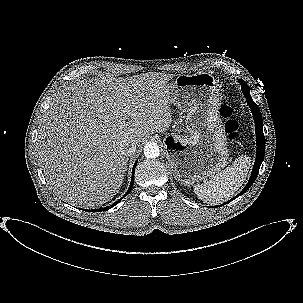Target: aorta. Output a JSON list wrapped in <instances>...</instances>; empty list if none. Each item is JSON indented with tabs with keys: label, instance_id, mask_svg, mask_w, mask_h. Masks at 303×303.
I'll list each match as a JSON object with an SVG mask.
<instances>
[{
	"label": "aorta",
	"instance_id": "762f6f07",
	"mask_svg": "<svg viewBox=\"0 0 303 303\" xmlns=\"http://www.w3.org/2000/svg\"><path fill=\"white\" fill-rule=\"evenodd\" d=\"M144 155L148 159L157 158L160 155L159 146L154 142H148L144 146Z\"/></svg>",
	"mask_w": 303,
	"mask_h": 303
}]
</instances>
